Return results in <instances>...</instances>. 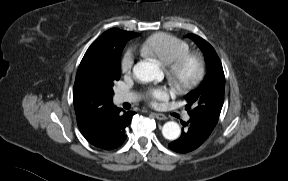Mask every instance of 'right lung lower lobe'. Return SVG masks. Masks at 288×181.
Segmentation results:
<instances>
[{
  "label": "right lung lower lobe",
  "mask_w": 288,
  "mask_h": 181,
  "mask_svg": "<svg viewBox=\"0 0 288 181\" xmlns=\"http://www.w3.org/2000/svg\"><path fill=\"white\" fill-rule=\"evenodd\" d=\"M122 109L117 108L114 112L113 116V129H114V136L110 144L108 145V149L117 148L120 146L126 139L125 135V128L131 123V117L135 114V112L128 111V112H121Z\"/></svg>",
  "instance_id": "obj_1"
}]
</instances>
